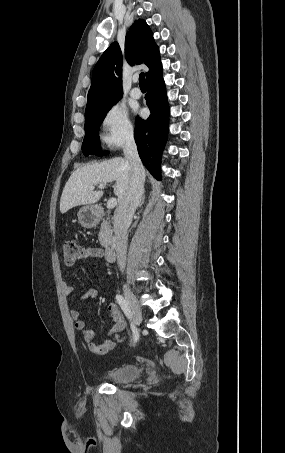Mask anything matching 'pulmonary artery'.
<instances>
[{
  "label": "pulmonary artery",
  "instance_id": "obj_1",
  "mask_svg": "<svg viewBox=\"0 0 285 453\" xmlns=\"http://www.w3.org/2000/svg\"><path fill=\"white\" fill-rule=\"evenodd\" d=\"M133 81H134V83H136V82H137V78H134ZM130 95H131L133 98H136V99H137V98H140V97H141L142 92H141V90H140L139 87L134 86V87L131 89V91H130Z\"/></svg>",
  "mask_w": 285,
  "mask_h": 453
}]
</instances>
